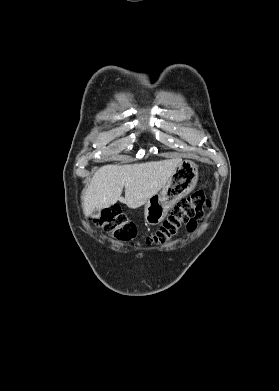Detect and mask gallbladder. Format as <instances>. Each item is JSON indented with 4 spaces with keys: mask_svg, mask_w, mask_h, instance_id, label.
<instances>
[{
    "mask_svg": "<svg viewBox=\"0 0 279 391\" xmlns=\"http://www.w3.org/2000/svg\"><path fill=\"white\" fill-rule=\"evenodd\" d=\"M99 215H100V210H99V209H95V210L92 212V214H91V216H92L93 218H97V217H99Z\"/></svg>",
    "mask_w": 279,
    "mask_h": 391,
    "instance_id": "1",
    "label": "gallbladder"
}]
</instances>
